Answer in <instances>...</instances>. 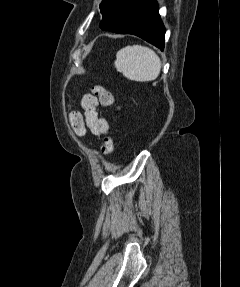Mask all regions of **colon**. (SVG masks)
Wrapping results in <instances>:
<instances>
[{"mask_svg": "<svg viewBox=\"0 0 240 287\" xmlns=\"http://www.w3.org/2000/svg\"><path fill=\"white\" fill-rule=\"evenodd\" d=\"M93 95L99 100V103L103 106H112L115 102L114 95L111 91L107 90L102 85H94L92 88ZM119 109V106H116ZM70 124L74 132L82 136L85 133L84 124L81 115L78 112L70 113ZM114 149V142L110 136H106L101 147L103 155H109Z\"/></svg>", "mask_w": 240, "mask_h": 287, "instance_id": "obj_1", "label": "colon"}]
</instances>
